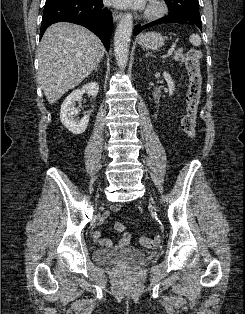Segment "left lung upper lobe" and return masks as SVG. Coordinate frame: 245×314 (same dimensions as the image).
<instances>
[{
	"mask_svg": "<svg viewBox=\"0 0 245 314\" xmlns=\"http://www.w3.org/2000/svg\"><path fill=\"white\" fill-rule=\"evenodd\" d=\"M170 15H191L200 17L198 0H165Z\"/></svg>",
	"mask_w": 245,
	"mask_h": 314,
	"instance_id": "obj_1",
	"label": "left lung upper lobe"
}]
</instances>
